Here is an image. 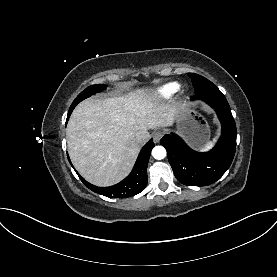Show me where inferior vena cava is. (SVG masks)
<instances>
[{"label": "inferior vena cava", "instance_id": "602c4592", "mask_svg": "<svg viewBox=\"0 0 277 277\" xmlns=\"http://www.w3.org/2000/svg\"><path fill=\"white\" fill-rule=\"evenodd\" d=\"M149 137L150 135L145 129L139 130L134 134V138L138 143H144L149 139Z\"/></svg>", "mask_w": 277, "mask_h": 277}]
</instances>
